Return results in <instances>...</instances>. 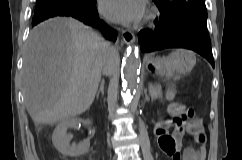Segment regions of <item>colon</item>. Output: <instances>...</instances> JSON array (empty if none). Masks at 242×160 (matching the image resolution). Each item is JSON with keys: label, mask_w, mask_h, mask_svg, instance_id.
Instances as JSON below:
<instances>
[{"label": "colon", "mask_w": 242, "mask_h": 160, "mask_svg": "<svg viewBox=\"0 0 242 160\" xmlns=\"http://www.w3.org/2000/svg\"><path fill=\"white\" fill-rule=\"evenodd\" d=\"M171 116L173 118V121H175L178 117H180L183 113L191 112L190 110L186 109L183 105L173 103L171 105ZM170 122V120L165 119L161 121V125L158 128L159 131L163 130L164 127Z\"/></svg>", "instance_id": "colon-1"}]
</instances>
